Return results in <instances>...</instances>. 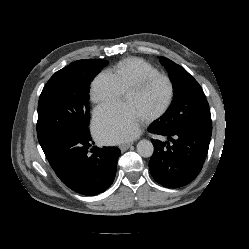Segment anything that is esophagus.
<instances>
[{"label": "esophagus", "mask_w": 249, "mask_h": 249, "mask_svg": "<svg viewBox=\"0 0 249 249\" xmlns=\"http://www.w3.org/2000/svg\"><path fill=\"white\" fill-rule=\"evenodd\" d=\"M131 143H124V144H121L119 145V148L122 152L126 151L127 149H129L131 147Z\"/></svg>", "instance_id": "obj_1"}]
</instances>
